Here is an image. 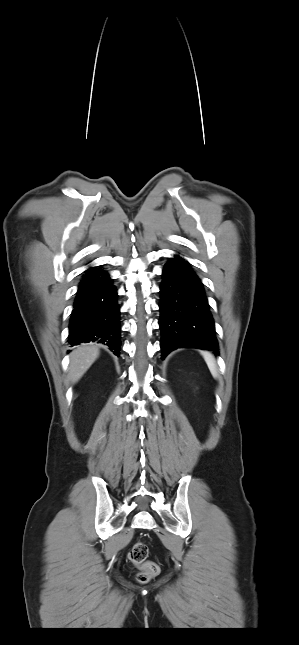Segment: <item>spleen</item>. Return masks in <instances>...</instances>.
Wrapping results in <instances>:
<instances>
[{
	"mask_svg": "<svg viewBox=\"0 0 299 645\" xmlns=\"http://www.w3.org/2000/svg\"><path fill=\"white\" fill-rule=\"evenodd\" d=\"M202 356L214 378H217V367L213 356L209 352H202Z\"/></svg>",
	"mask_w": 299,
	"mask_h": 645,
	"instance_id": "1",
	"label": "spleen"
}]
</instances>
